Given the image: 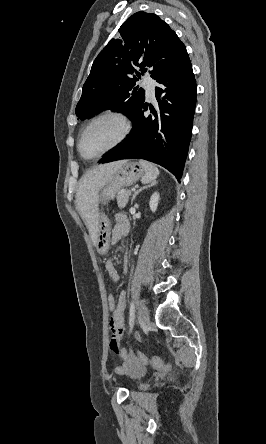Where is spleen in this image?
<instances>
[{
  "label": "spleen",
  "instance_id": "obj_1",
  "mask_svg": "<svg viewBox=\"0 0 266 444\" xmlns=\"http://www.w3.org/2000/svg\"><path fill=\"white\" fill-rule=\"evenodd\" d=\"M139 164L143 167L145 171V175L142 178L143 182L148 183L154 181L156 177L159 175V169L151 162L140 160Z\"/></svg>",
  "mask_w": 266,
  "mask_h": 444
}]
</instances>
